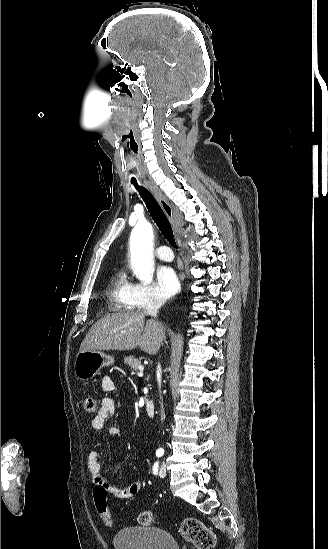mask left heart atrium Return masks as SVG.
Instances as JSON below:
<instances>
[{"instance_id": "left-heart-atrium-1", "label": "left heart atrium", "mask_w": 328, "mask_h": 549, "mask_svg": "<svg viewBox=\"0 0 328 549\" xmlns=\"http://www.w3.org/2000/svg\"><path fill=\"white\" fill-rule=\"evenodd\" d=\"M157 284L164 297L173 295L178 289V280L174 271L169 267H163L157 275Z\"/></svg>"}]
</instances>
